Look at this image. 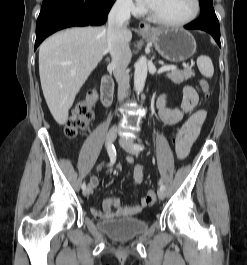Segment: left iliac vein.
<instances>
[{
  "instance_id": "left-iliac-vein-1",
  "label": "left iliac vein",
  "mask_w": 247,
  "mask_h": 265,
  "mask_svg": "<svg viewBox=\"0 0 247 265\" xmlns=\"http://www.w3.org/2000/svg\"><path fill=\"white\" fill-rule=\"evenodd\" d=\"M119 143L122 146V148L125 151H127L128 153H130L132 155H136V156L139 154V150L134 148V143L132 140H126V139L120 138ZM158 197L161 200H163L165 198L164 190H161V189L158 190Z\"/></svg>"
}]
</instances>
